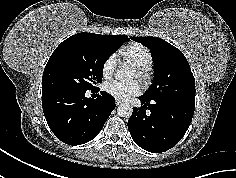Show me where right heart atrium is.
<instances>
[{
  "instance_id": "d8ad5b80",
  "label": "right heart atrium",
  "mask_w": 236,
  "mask_h": 178,
  "mask_svg": "<svg viewBox=\"0 0 236 178\" xmlns=\"http://www.w3.org/2000/svg\"><path fill=\"white\" fill-rule=\"evenodd\" d=\"M117 64V57L115 54L109 55L103 62L101 73L105 79H109L114 71Z\"/></svg>"
}]
</instances>
